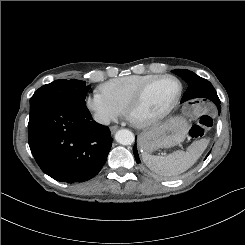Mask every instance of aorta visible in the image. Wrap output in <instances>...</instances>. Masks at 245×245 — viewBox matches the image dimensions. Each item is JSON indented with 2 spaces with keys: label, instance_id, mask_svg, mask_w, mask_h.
Segmentation results:
<instances>
[{
  "label": "aorta",
  "instance_id": "762f6f07",
  "mask_svg": "<svg viewBox=\"0 0 245 245\" xmlns=\"http://www.w3.org/2000/svg\"><path fill=\"white\" fill-rule=\"evenodd\" d=\"M134 139V134L127 129H121L115 134V140L122 145H131Z\"/></svg>",
  "mask_w": 245,
  "mask_h": 245
}]
</instances>
